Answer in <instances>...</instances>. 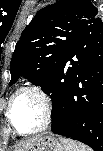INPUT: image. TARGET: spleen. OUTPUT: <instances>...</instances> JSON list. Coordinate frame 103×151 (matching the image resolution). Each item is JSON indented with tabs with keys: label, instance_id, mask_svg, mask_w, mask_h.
I'll use <instances>...</instances> for the list:
<instances>
[{
	"label": "spleen",
	"instance_id": "spleen-1",
	"mask_svg": "<svg viewBox=\"0 0 103 151\" xmlns=\"http://www.w3.org/2000/svg\"><path fill=\"white\" fill-rule=\"evenodd\" d=\"M60 141L65 147V151H92L91 148L70 138L60 137Z\"/></svg>",
	"mask_w": 103,
	"mask_h": 151
}]
</instances>
